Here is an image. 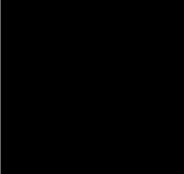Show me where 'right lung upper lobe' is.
Listing matches in <instances>:
<instances>
[{
	"label": "right lung upper lobe",
	"instance_id": "obj_1",
	"mask_svg": "<svg viewBox=\"0 0 184 174\" xmlns=\"http://www.w3.org/2000/svg\"><path fill=\"white\" fill-rule=\"evenodd\" d=\"M72 99L67 64L60 58L46 60L37 70L23 102V115L29 131L34 136L53 132L75 118Z\"/></svg>",
	"mask_w": 184,
	"mask_h": 174
}]
</instances>
